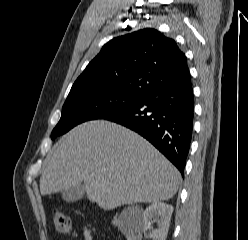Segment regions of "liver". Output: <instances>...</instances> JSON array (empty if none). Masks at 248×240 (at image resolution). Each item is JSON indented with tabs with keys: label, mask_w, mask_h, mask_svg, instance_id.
<instances>
[{
	"label": "liver",
	"mask_w": 248,
	"mask_h": 240,
	"mask_svg": "<svg viewBox=\"0 0 248 240\" xmlns=\"http://www.w3.org/2000/svg\"><path fill=\"white\" fill-rule=\"evenodd\" d=\"M179 171L148 141L115 123L95 120L64 135L40 177L43 196L84 183L87 198L111 210L156 203L178 190Z\"/></svg>",
	"instance_id": "6515ba94"
}]
</instances>
